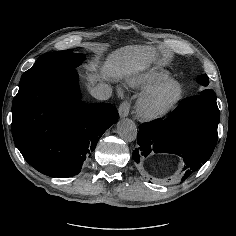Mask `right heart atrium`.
Here are the masks:
<instances>
[{
	"mask_svg": "<svg viewBox=\"0 0 236 236\" xmlns=\"http://www.w3.org/2000/svg\"><path fill=\"white\" fill-rule=\"evenodd\" d=\"M115 92H116L118 97L123 96V90L119 86H115Z\"/></svg>",
	"mask_w": 236,
	"mask_h": 236,
	"instance_id": "1",
	"label": "right heart atrium"
}]
</instances>
